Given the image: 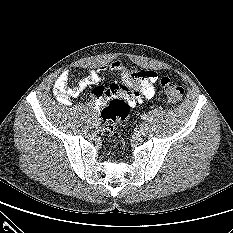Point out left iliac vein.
Instances as JSON below:
<instances>
[{
  "label": "left iliac vein",
  "mask_w": 233,
  "mask_h": 233,
  "mask_svg": "<svg viewBox=\"0 0 233 233\" xmlns=\"http://www.w3.org/2000/svg\"><path fill=\"white\" fill-rule=\"evenodd\" d=\"M147 133H148V127L146 126V124H142L138 129V134L140 136H146Z\"/></svg>",
  "instance_id": "1"
}]
</instances>
